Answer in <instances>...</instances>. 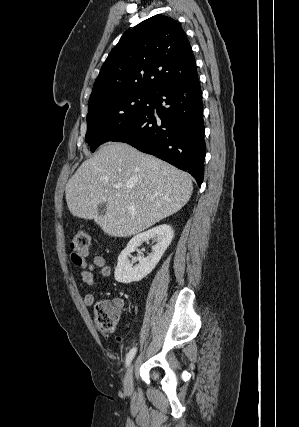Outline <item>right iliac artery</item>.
I'll return each mask as SVG.
<instances>
[{
  "instance_id": "1",
  "label": "right iliac artery",
  "mask_w": 299,
  "mask_h": 427,
  "mask_svg": "<svg viewBox=\"0 0 299 427\" xmlns=\"http://www.w3.org/2000/svg\"><path fill=\"white\" fill-rule=\"evenodd\" d=\"M135 353H136V348L134 347V348H133V349H131V350H130V352L127 354V356H126V362H125L126 367H128V366H129V364H130V362L132 361V359H133V357H134Z\"/></svg>"
}]
</instances>
